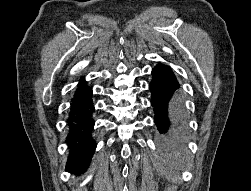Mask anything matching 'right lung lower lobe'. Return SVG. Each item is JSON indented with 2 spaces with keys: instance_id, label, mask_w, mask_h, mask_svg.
I'll use <instances>...</instances> for the list:
<instances>
[{
  "instance_id": "98d812e1",
  "label": "right lung lower lobe",
  "mask_w": 251,
  "mask_h": 191,
  "mask_svg": "<svg viewBox=\"0 0 251 191\" xmlns=\"http://www.w3.org/2000/svg\"><path fill=\"white\" fill-rule=\"evenodd\" d=\"M69 112V134L66 142L69 144L70 155L66 164V171L76 174L83 173L94 154L96 143L91 136L94 127L92 113V88L82 78L74 97Z\"/></svg>"
}]
</instances>
